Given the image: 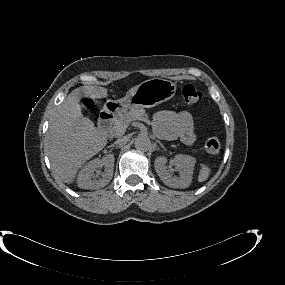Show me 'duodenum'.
Returning a JSON list of instances; mask_svg holds the SVG:
<instances>
[{
	"label": "duodenum",
	"instance_id": "1",
	"mask_svg": "<svg viewBox=\"0 0 285 285\" xmlns=\"http://www.w3.org/2000/svg\"><path fill=\"white\" fill-rule=\"evenodd\" d=\"M115 114L113 111H104L101 113L100 118H99V129L107 134L110 130V127L113 123Z\"/></svg>",
	"mask_w": 285,
	"mask_h": 285
}]
</instances>
